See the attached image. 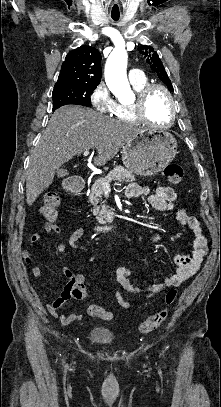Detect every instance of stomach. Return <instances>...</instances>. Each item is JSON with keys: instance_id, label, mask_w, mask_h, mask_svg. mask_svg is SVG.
<instances>
[{"instance_id": "0dacf381", "label": "stomach", "mask_w": 221, "mask_h": 407, "mask_svg": "<svg viewBox=\"0 0 221 407\" xmlns=\"http://www.w3.org/2000/svg\"><path fill=\"white\" fill-rule=\"evenodd\" d=\"M176 153L177 141L171 133L142 130L124 145L122 161L131 172L151 176L166 167Z\"/></svg>"}]
</instances>
